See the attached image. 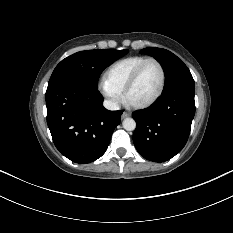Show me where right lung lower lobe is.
Wrapping results in <instances>:
<instances>
[{
	"label": "right lung lower lobe",
	"instance_id": "98d812e1",
	"mask_svg": "<svg viewBox=\"0 0 233 233\" xmlns=\"http://www.w3.org/2000/svg\"><path fill=\"white\" fill-rule=\"evenodd\" d=\"M103 97L90 85L59 81L46 91L47 124L59 152L76 163H90L106 151L122 111L102 106Z\"/></svg>",
	"mask_w": 233,
	"mask_h": 233
}]
</instances>
